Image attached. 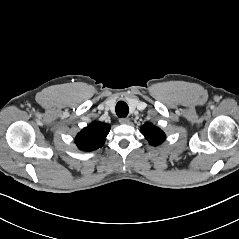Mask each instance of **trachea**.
<instances>
[{"label":"trachea","instance_id":"trachea-1","mask_svg":"<svg viewBox=\"0 0 239 239\" xmlns=\"http://www.w3.org/2000/svg\"><path fill=\"white\" fill-rule=\"evenodd\" d=\"M115 110L118 117H126L129 113V107L124 101H119L116 104Z\"/></svg>","mask_w":239,"mask_h":239}]
</instances>
